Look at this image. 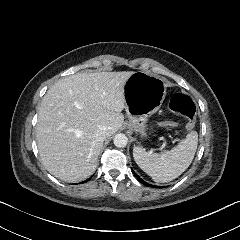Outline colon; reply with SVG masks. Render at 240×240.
I'll return each mask as SVG.
<instances>
[{"label": "colon", "mask_w": 240, "mask_h": 240, "mask_svg": "<svg viewBox=\"0 0 240 240\" xmlns=\"http://www.w3.org/2000/svg\"><path fill=\"white\" fill-rule=\"evenodd\" d=\"M169 107L174 114H180L187 118L186 131H191V127L196 123L197 115V108L194 101L188 96L177 94L171 97ZM167 127H177V120H173V118L163 120L162 128L165 129Z\"/></svg>", "instance_id": "obj_1"}]
</instances>
